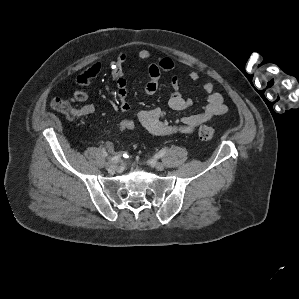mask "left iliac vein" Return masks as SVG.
<instances>
[{
	"instance_id": "left-iliac-vein-1",
	"label": "left iliac vein",
	"mask_w": 299,
	"mask_h": 299,
	"mask_svg": "<svg viewBox=\"0 0 299 299\" xmlns=\"http://www.w3.org/2000/svg\"><path fill=\"white\" fill-rule=\"evenodd\" d=\"M149 163L152 167H154L158 171H162L164 169V165L161 162L150 161Z\"/></svg>"
}]
</instances>
